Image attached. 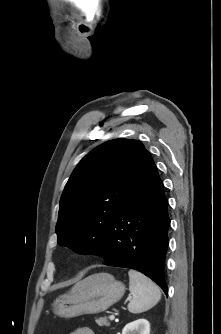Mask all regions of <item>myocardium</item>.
Wrapping results in <instances>:
<instances>
[{
    "label": "myocardium",
    "instance_id": "f54148a6",
    "mask_svg": "<svg viewBox=\"0 0 221 334\" xmlns=\"http://www.w3.org/2000/svg\"><path fill=\"white\" fill-rule=\"evenodd\" d=\"M88 256H89V253L86 252V251H82V252L77 253V257H78V259H80V260H84V259H86Z\"/></svg>",
    "mask_w": 221,
    "mask_h": 334
}]
</instances>
